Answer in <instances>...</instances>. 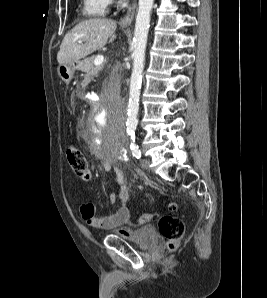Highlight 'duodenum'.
Segmentation results:
<instances>
[{"instance_id":"410a0bca","label":"duodenum","mask_w":267,"mask_h":298,"mask_svg":"<svg viewBox=\"0 0 267 298\" xmlns=\"http://www.w3.org/2000/svg\"><path fill=\"white\" fill-rule=\"evenodd\" d=\"M98 105H102V100H100V98H93V100H91V104H89L88 107V115H98Z\"/></svg>"}]
</instances>
